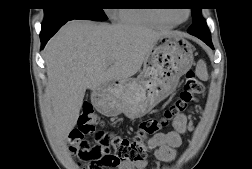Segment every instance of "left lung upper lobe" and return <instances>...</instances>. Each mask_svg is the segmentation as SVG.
I'll use <instances>...</instances> for the list:
<instances>
[{"label": "left lung upper lobe", "mask_w": 252, "mask_h": 169, "mask_svg": "<svg viewBox=\"0 0 252 169\" xmlns=\"http://www.w3.org/2000/svg\"><path fill=\"white\" fill-rule=\"evenodd\" d=\"M193 23L189 30L198 32L202 30H209L204 18L201 15V8L196 7L192 9ZM210 32V31H209Z\"/></svg>", "instance_id": "1"}]
</instances>
